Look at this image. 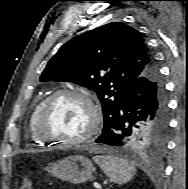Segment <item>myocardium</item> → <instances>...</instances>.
I'll return each mask as SVG.
<instances>
[{
	"label": "myocardium",
	"instance_id": "f54148a6",
	"mask_svg": "<svg viewBox=\"0 0 188 189\" xmlns=\"http://www.w3.org/2000/svg\"><path fill=\"white\" fill-rule=\"evenodd\" d=\"M64 96L76 97L84 101L90 110V114H91L90 124L87 130L82 135L76 138L63 139L58 137H49L44 133V120L46 115L48 114L52 104L57 99ZM100 122H101L100 111L96 103L94 102L93 98L89 94L74 89H61L51 94L42 103L35 119L34 131L36 137L43 143H55V144H60L62 146H73V145L81 144L87 141L88 139L92 138L97 133L100 126Z\"/></svg>",
	"mask_w": 188,
	"mask_h": 189
}]
</instances>
